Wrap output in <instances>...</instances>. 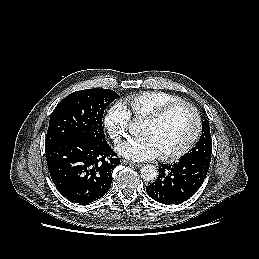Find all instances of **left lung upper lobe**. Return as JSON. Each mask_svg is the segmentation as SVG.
Here are the masks:
<instances>
[{"mask_svg":"<svg viewBox=\"0 0 259 259\" xmlns=\"http://www.w3.org/2000/svg\"><path fill=\"white\" fill-rule=\"evenodd\" d=\"M211 148H212V140L210 135V128L208 120L203 121L202 126V135L200 140L196 144L195 147L192 148L190 152L186 155L191 156L197 159H201L210 163L211 160Z\"/></svg>","mask_w":259,"mask_h":259,"instance_id":"left-lung-upper-lobe-1","label":"left lung upper lobe"}]
</instances>
